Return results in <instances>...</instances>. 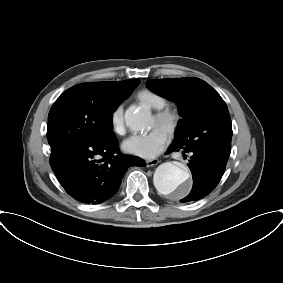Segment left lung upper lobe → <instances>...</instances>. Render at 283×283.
<instances>
[{
	"label": "left lung upper lobe",
	"instance_id": "obj_1",
	"mask_svg": "<svg viewBox=\"0 0 283 283\" xmlns=\"http://www.w3.org/2000/svg\"><path fill=\"white\" fill-rule=\"evenodd\" d=\"M148 88L179 106L175 140L193 139L196 145L214 154L231 151L232 125L228 108L221 96L198 78L149 80Z\"/></svg>",
	"mask_w": 283,
	"mask_h": 283
}]
</instances>
